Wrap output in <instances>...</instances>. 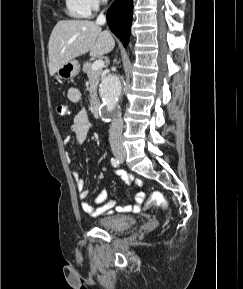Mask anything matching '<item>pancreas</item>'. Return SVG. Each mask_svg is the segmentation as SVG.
<instances>
[{
    "instance_id": "cf45deb5",
    "label": "pancreas",
    "mask_w": 243,
    "mask_h": 289,
    "mask_svg": "<svg viewBox=\"0 0 243 289\" xmlns=\"http://www.w3.org/2000/svg\"><path fill=\"white\" fill-rule=\"evenodd\" d=\"M92 64L90 62L83 63V72L87 74L90 87H89V93L91 101H94L97 99V88L100 81V75L102 73V70H92L91 69Z\"/></svg>"
}]
</instances>
